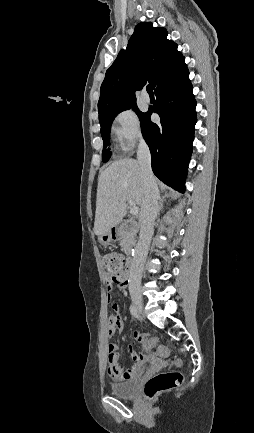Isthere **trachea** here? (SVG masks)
<instances>
[{"instance_id":"trachea-1","label":"trachea","mask_w":254,"mask_h":433,"mask_svg":"<svg viewBox=\"0 0 254 433\" xmlns=\"http://www.w3.org/2000/svg\"><path fill=\"white\" fill-rule=\"evenodd\" d=\"M146 90H147V92H148L149 95L153 94V89H152L151 85H147Z\"/></svg>"}]
</instances>
